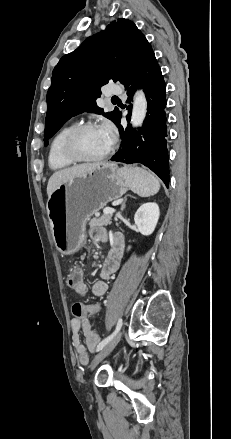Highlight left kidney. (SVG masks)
<instances>
[{
	"mask_svg": "<svg viewBox=\"0 0 231 439\" xmlns=\"http://www.w3.org/2000/svg\"><path fill=\"white\" fill-rule=\"evenodd\" d=\"M160 216L159 206L155 202L142 204L134 216L135 224L142 235L153 233ZM130 249V247H128Z\"/></svg>",
	"mask_w": 231,
	"mask_h": 439,
	"instance_id": "1",
	"label": "left kidney"
}]
</instances>
